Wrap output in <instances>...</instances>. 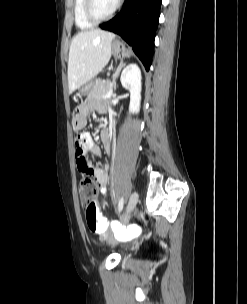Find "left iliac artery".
Segmentation results:
<instances>
[{"mask_svg":"<svg viewBox=\"0 0 247 304\" xmlns=\"http://www.w3.org/2000/svg\"><path fill=\"white\" fill-rule=\"evenodd\" d=\"M123 205H124V199H123V197H121L120 200H119V204H118V211L119 212L122 211Z\"/></svg>","mask_w":247,"mask_h":304,"instance_id":"1","label":"left iliac artery"}]
</instances>
